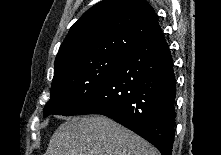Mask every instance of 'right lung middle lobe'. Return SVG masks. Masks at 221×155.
<instances>
[{
	"mask_svg": "<svg viewBox=\"0 0 221 155\" xmlns=\"http://www.w3.org/2000/svg\"><path fill=\"white\" fill-rule=\"evenodd\" d=\"M125 54L106 53L76 60L54 73L50 100L44 107L49 114L77 115L105 84Z\"/></svg>",
	"mask_w": 221,
	"mask_h": 155,
	"instance_id": "right-lung-middle-lobe-1",
	"label": "right lung middle lobe"
}]
</instances>
